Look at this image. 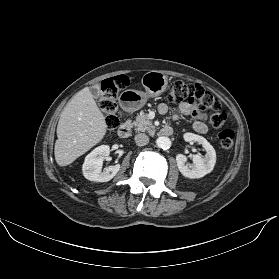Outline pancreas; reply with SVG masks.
Wrapping results in <instances>:
<instances>
[{"instance_id": "cf45deb5", "label": "pancreas", "mask_w": 279, "mask_h": 279, "mask_svg": "<svg viewBox=\"0 0 279 279\" xmlns=\"http://www.w3.org/2000/svg\"><path fill=\"white\" fill-rule=\"evenodd\" d=\"M136 131H147L148 133L154 132L153 123L148 119V115L143 111L136 117L135 121L132 123Z\"/></svg>"}]
</instances>
